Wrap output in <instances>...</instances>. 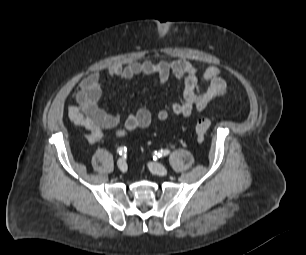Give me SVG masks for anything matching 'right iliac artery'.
<instances>
[{"label": "right iliac artery", "mask_w": 306, "mask_h": 255, "mask_svg": "<svg viewBox=\"0 0 306 255\" xmlns=\"http://www.w3.org/2000/svg\"><path fill=\"white\" fill-rule=\"evenodd\" d=\"M126 151H127V148H126L125 146H121V147H119V148L117 149V153H118L119 155L125 154Z\"/></svg>", "instance_id": "obj_1"}]
</instances>
